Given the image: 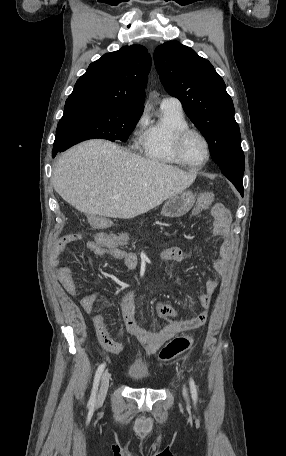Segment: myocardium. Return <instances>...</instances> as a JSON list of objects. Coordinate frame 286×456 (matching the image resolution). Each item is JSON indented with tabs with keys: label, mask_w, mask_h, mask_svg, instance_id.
Segmentation results:
<instances>
[{
	"label": "myocardium",
	"mask_w": 286,
	"mask_h": 456,
	"mask_svg": "<svg viewBox=\"0 0 286 456\" xmlns=\"http://www.w3.org/2000/svg\"><path fill=\"white\" fill-rule=\"evenodd\" d=\"M191 134L198 135L204 141L205 146H206V159L200 164H193V163L189 162L183 152L184 141ZM173 151H174L175 155L178 157V159L183 164H185L191 168H194V169H200V168L204 167L205 165H207V163L211 159L210 142H209L208 138L206 137V135L196 128L187 127V128L177 131L173 137Z\"/></svg>",
	"instance_id": "f54148a6"
}]
</instances>
